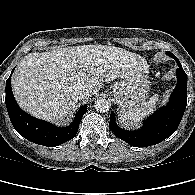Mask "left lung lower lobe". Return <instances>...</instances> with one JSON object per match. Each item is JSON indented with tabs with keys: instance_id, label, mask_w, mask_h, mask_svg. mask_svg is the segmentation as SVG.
I'll return each instance as SVG.
<instances>
[{
	"instance_id": "0a47b994",
	"label": "left lung lower lobe",
	"mask_w": 195,
	"mask_h": 195,
	"mask_svg": "<svg viewBox=\"0 0 195 195\" xmlns=\"http://www.w3.org/2000/svg\"><path fill=\"white\" fill-rule=\"evenodd\" d=\"M177 62V85L172 92L169 103L156 111L144 121V125L137 131H126L117 126L114 114L110 116V129L115 136L136 147H148L158 144L172 135L178 128L187 105V75L181 63L174 56L166 52Z\"/></svg>"
}]
</instances>
